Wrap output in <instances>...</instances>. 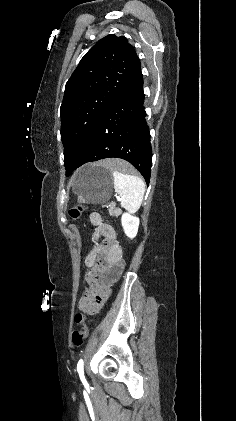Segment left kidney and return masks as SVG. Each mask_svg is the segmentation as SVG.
I'll return each instance as SVG.
<instances>
[{
	"label": "left kidney",
	"instance_id": "obj_1",
	"mask_svg": "<svg viewBox=\"0 0 236 421\" xmlns=\"http://www.w3.org/2000/svg\"><path fill=\"white\" fill-rule=\"evenodd\" d=\"M122 227L124 229L125 235L129 237V239H134L138 233L139 227V219L138 217H132V215H128V213H124L121 219Z\"/></svg>",
	"mask_w": 236,
	"mask_h": 421
}]
</instances>
